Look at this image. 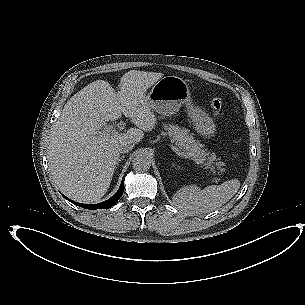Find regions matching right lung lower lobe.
I'll use <instances>...</instances> for the list:
<instances>
[{
  "label": "right lung lower lobe",
  "mask_w": 305,
  "mask_h": 305,
  "mask_svg": "<svg viewBox=\"0 0 305 305\" xmlns=\"http://www.w3.org/2000/svg\"><path fill=\"white\" fill-rule=\"evenodd\" d=\"M123 191H124V182L122 180L121 186L119 187L118 191L110 199H108L102 203H99V204H81V203L74 202V201L66 198L65 196H63V197L65 199L69 200L70 202H72L73 204H75L79 207H82V208H86V209H105L106 208L107 209V208L112 207L120 199V197L123 194Z\"/></svg>",
  "instance_id": "1"
}]
</instances>
